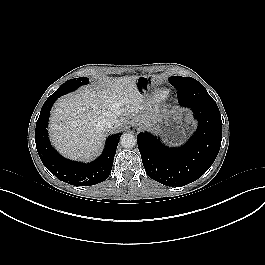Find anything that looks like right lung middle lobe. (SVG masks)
I'll return each instance as SVG.
<instances>
[{"mask_svg": "<svg viewBox=\"0 0 265 265\" xmlns=\"http://www.w3.org/2000/svg\"><path fill=\"white\" fill-rule=\"evenodd\" d=\"M88 80L89 79L86 77L70 79V80L66 81L65 83H63L59 87V89L55 93H53L51 96H49L48 98H56L57 99V98L63 96L64 94H67L71 91H74L79 86L87 84Z\"/></svg>", "mask_w": 265, "mask_h": 265, "instance_id": "dd1d6c3e", "label": "right lung middle lobe"}]
</instances>
